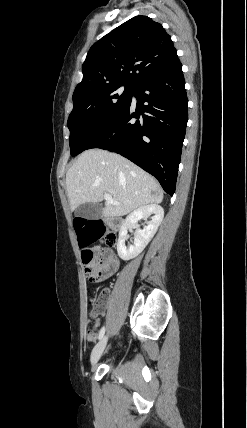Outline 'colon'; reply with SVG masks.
Wrapping results in <instances>:
<instances>
[{
    "instance_id": "1",
    "label": "colon",
    "mask_w": 247,
    "mask_h": 428,
    "mask_svg": "<svg viewBox=\"0 0 247 428\" xmlns=\"http://www.w3.org/2000/svg\"><path fill=\"white\" fill-rule=\"evenodd\" d=\"M77 234L75 236L76 243L79 244V249L82 250L81 256L86 278L91 281H98V275L105 264V259L100 255L95 257L93 250L87 248L92 243H99L100 239L104 240L107 246H115L117 243L116 233L108 229L100 221H89L88 217H77ZM98 303L94 306L92 315L95 314ZM93 331L88 330L87 334Z\"/></svg>"
}]
</instances>
